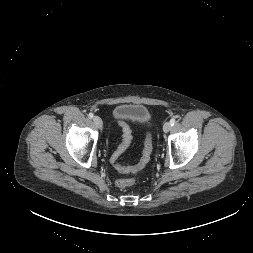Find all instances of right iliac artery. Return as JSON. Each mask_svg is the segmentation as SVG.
<instances>
[{"label":"right iliac artery","instance_id":"82829eb1","mask_svg":"<svg viewBox=\"0 0 253 253\" xmlns=\"http://www.w3.org/2000/svg\"><path fill=\"white\" fill-rule=\"evenodd\" d=\"M88 116H89L90 118H93V113H89Z\"/></svg>","mask_w":253,"mask_h":253}]
</instances>
